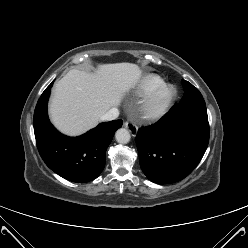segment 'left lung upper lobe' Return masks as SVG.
<instances>
[{
	"label": "left lung upper lobe",
	"mask_w": 248,
	"mask_h": 248,
	"mask_svg": "<svg viewBox=\"0 0 248 248\" xmlns=\"http://www.w3.org/2000/svg\"><path fill=\"white\" fill-rule=\"evenodd\" d=\"M184 95L181 101L179 102L180 106L186 105L189 101L203 99L201 93L197 88H195L191 83L186 80H182Z\"/></svg>",
	"instance_id": "obj_1"
}]
</instances>
